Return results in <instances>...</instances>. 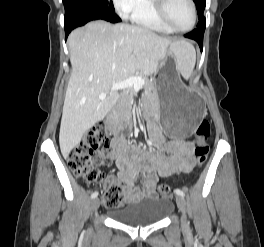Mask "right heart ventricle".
<instances>
[{"mask_svg":"<svg viewBox=\"0 0 264 247\" xmlns=\"http://www.w3.org/2000/svg\"><path fill=\"white\" fill-rule=\"evenodd\" d=\"M130 19L140 26L157 32L165 34L173 32L155 14L152 0H139L138 5L130 14Z\"/></svg>","mask_w":264,"mask_h":247,"instance_id":"right-heart-ventricle-1","label":"right heart ventricle"}]
</instances>
